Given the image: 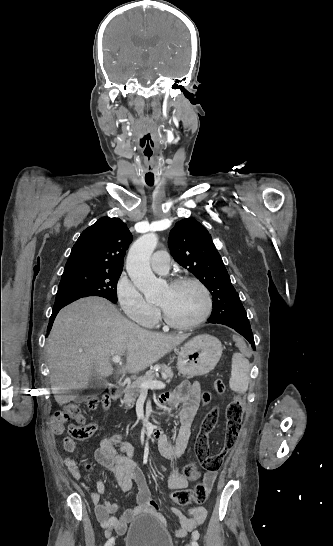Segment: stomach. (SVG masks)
I'll use <instances>...</instances> for the list:
<instances>
[{
    "instance_id": "0dacf381",
    "label": "stomach",
    "mask_w": 333,
    "mask_h": 546,
    "mask_svg": "<svg viewBox=\"0 0 333 546\" xmlns=\"http://www.w3.org/2000/svg\"><path fill=\"white\" fill-rule=\"evenodd\" d=\"M222 351L221 342L212 335L193 337L181 347L177 361L179 374L187 377L208 374L217 365Z\"/></svg>"
}]
</instances>
